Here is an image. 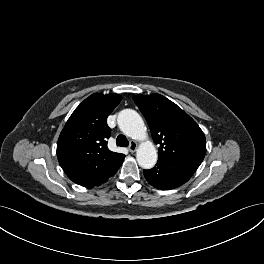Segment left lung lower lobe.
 <instances>
[{"label":"left lung lower lobe","instance_id":"0a47b994","mask_svg":"<svg viewBox=\"0 0 264 264\" xmlns=\"http://www.w3.org/2000/svg\"><path fill=\"white\" fill-rule=\"evenodd\" d=\"M196 170L174 161L158 159L153 169L144 170L149 184L161 190L177 188L187 182Z\"/></svg>","mask_w":264,"mask_h":264}]
</instances>
